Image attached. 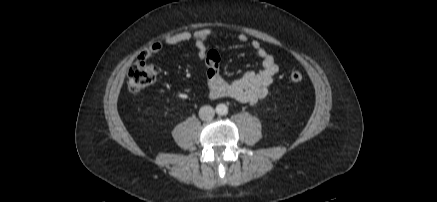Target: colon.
I'll list each match as a JSON object with an SVG mask.
<instances>
[{
  "label": "colon",
  "mask_w": 437,
  "mask_h": 202,
  "mask_svg": "<svg viewBox=\"0 0 437 202\" xmlns=\"http://www.w3.org/2000/svg\"><path fill=\"white\" fill-rule=\"evenodd\" d=\"M157 78L158 68L155 65L147 64L144 61L138 62L129 70L128 91L132 94H138L155 83ZM289 78L292 82L298 83L303 80V75L299 71H293L290 73Z\"/></svg>",
  "instance_id": "1"
}]
</instances>
